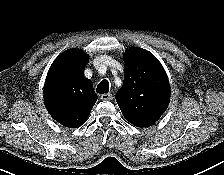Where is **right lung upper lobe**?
<instances>
[{
	"label": "right lung upper lobe",
	"mask_w": 224,
	"mask_h": 175,
	"mask_svg": "<svg viewBox=\"0 0 224 175\" xmlns=\"http://www.w3.org/2000/svg\"><path fill=\"white\" fill-rule=\"evenodd\" d=\"M88 56L69 49L53 62L44 85V103L57 122L69 128L83 124L97 101L90 80L84 77Z\"/></svg>",
	"instance_id": "right-lung-upper-lobe-1"
}]
</instances>
